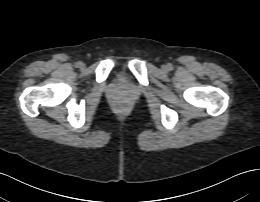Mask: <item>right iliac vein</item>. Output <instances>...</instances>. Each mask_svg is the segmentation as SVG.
I'll list each match as a JSON object with an SVG mask.
<instances>
[{"instance_id":"obj_1","label":"right iliac vein","mask_w":260,"mask_h":202,"mask_svg":"<svg viewBox=\"0 0 260 202\" xmlns=\"http://www.w3.org/2000/svg\"><path fill=\"white\" fill-rule=\"evenodd\" d=\"M84 66H85L84 63L81 62L80 67L83 68Z\"/></svg>"}]
</instances>
